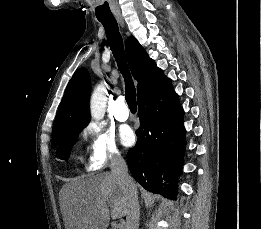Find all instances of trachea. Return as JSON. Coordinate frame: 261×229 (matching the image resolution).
Returning a JSON list of instances; mask_svg holds the SVG:
<instances>
[{
  "label": "trachea",
  "instance_id": "1",
  "mask_svg": "<svg viewBox=\"0 0 261 229\" xmlns=\"http://www.w3.org/2000/svg\"><path fill=\"white\" fill-rule=\"evenodd\" d=\"M105 28L108 44L114 54L118 68L125 79V98L132 112L137 110L136 90L133 84L126 56L123 48L122 37L119 33L117 21L113 16L97 17Z\"/></svg>",
  "mask_w": 261,
  "mask_h": 229
}]
</instances>
